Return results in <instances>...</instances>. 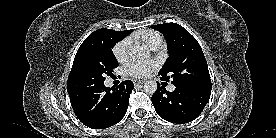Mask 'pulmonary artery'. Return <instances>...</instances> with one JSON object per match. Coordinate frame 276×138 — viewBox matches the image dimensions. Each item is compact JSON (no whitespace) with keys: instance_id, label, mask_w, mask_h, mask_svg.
<instances>
[{"instance_id":"obj_1","label":"pulmonary artery","mask_w":276,"mask_h":138,"mask_svg":"<svg viewBox=\"0 0 276 138\" xmlns=\"http://www.w3.org/2000/svg\"><path fill=\"white\" fill-rule=\"evenodd\" d=\"M174 89H175L174 86H170V87H169V90H170V91H173Z\"/></svg>"}]
</instances>
